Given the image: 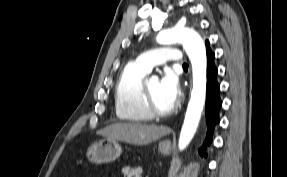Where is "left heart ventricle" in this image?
<instances>
[{
  "label": "left heart ventricle",
  "instance_id": "b2bd125f",
  "mask_svg": "<svg viewBox=\"0 0 287 177\" xmlns=\"http://www.w3.org/2000/svg\"><path fill=\"white\" fill-rule=\"evenodd\" d=\"M148 89H149V92L152 95V98H153L156 106L160 110H168L174 105L163 94V92L161 90V84H160L159 81H156V82L148 84Z\"/></svg>",
  "mask_w": 287,
  "mask_h": 177
}]
</instances>
